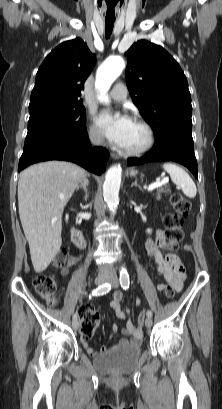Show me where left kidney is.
<instances>
[{"instance_id": "obj_1", "label": "left kidney", "mask_w": 222, "mask_h": 409, "mask_svg": "<svg viewBox=\"0 0 222 409\" xmlns=\"http://www.w3.org/2000/svg\"><path fill=\"white\" fill-rule=\"evenodd\" d=\"M151 231H152L151 229H148V230H147L148 233H151Z\"/></svg>"}]
</instances>
